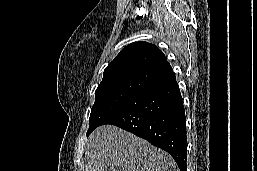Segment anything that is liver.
Masks as SVG:
<instances>
[{
  "label": "liver",
  "mask_w": 257,
  "mask_h": 171,
  "mask_svg": "<svg viewBox=\"0 0 257 171\" xmlns=\"http://www.w3.org/2000/svg\"><path fill=\"white\" fill-rule=\"evenodd\" d=\"M85 171H179L173 158L146 140L113 125L89 136Z\"/></svg>",
  "instance_id": "obj_1"
}]
</instances>
